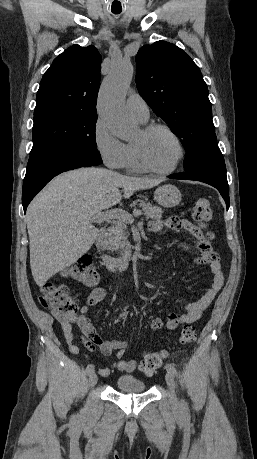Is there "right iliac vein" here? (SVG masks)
Segmentation results:
<instances>
[{
  "label": "right iliac vein",
  "mask_w": 257,
  "mask_h": 459,
  "mask_svg": "<svg viewBox=\"0 0 257 459\" xmlns=\"http://www.w3.org/2000/svg\"><path fill=\"white\" fill-rule=\"evenodd\" d=\"M98 381V377L95 372L90 374L89 377V386L93 387Z\"/></svg>",
  "instance_id": "right-iliac-vein-1"
}]
</instances>
